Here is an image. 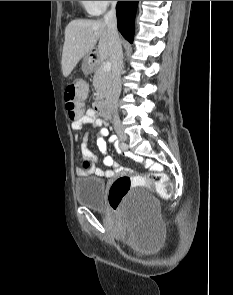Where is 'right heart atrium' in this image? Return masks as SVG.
<instances>
[{
	"mask_svg": "<svg viewBox=\"0 0 233 295\" xmlns=\"http://www.w3.org/2000/svg\"><path fill=\"white\" fill-rule=\"evenodd\" d=\"M89 13L93 15H98L102 13L110 4L115 1H87Z\"/></svg>",
	"mask_w": 233,
	"mask_h": 295,
	"instance_id": "d8ad5b80",
	"label": "right heart atrium"
}]
</instances>
